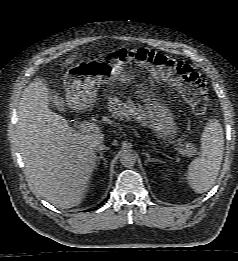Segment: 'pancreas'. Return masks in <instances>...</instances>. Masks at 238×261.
Instances as JSON below:
<instances>
[{
  "instance_id": "pancreas-1",
  "label": "pancreas",
  "mask_w": 238,
  "mask_h": 261,
  "mask_svg": "<svg viewBox=\"0 0 238 261\" xmlns=\"http://www.w3.org/2000/svg\"><path fill=\"white\" fill-rule=\"evenodd\" d=\"M108 109L112 112V117L121 121H129L132 118L143 125L149 126V121L142 108L136 107L134 104L124 103L120 100L110 99ZM184 150L194 153L196 147L191 143H186Z\"/></svg>"
}]
</instances>
